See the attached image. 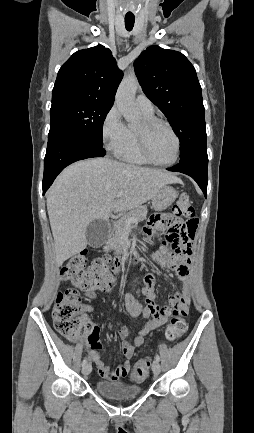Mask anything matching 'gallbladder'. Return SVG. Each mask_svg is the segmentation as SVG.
Wrapping results in <instances>:
<instances>
[{
  "instance_id": "1",
  "label": "gallbladder",
  "mask_w": 254,
  "mask_h": 433,
  "mask_svg": "<svg viewBox=\"0 0 254 433\" xmlns=\"http://www.w3.org/2000/svg\"><path fill=\"white\" fill-rule=\"evenodd\" d=\"M109 226L105 220H93L86 229V239L90 247L97 248L102 246L108 236Z\"/></svg>"
}]
</instances>
